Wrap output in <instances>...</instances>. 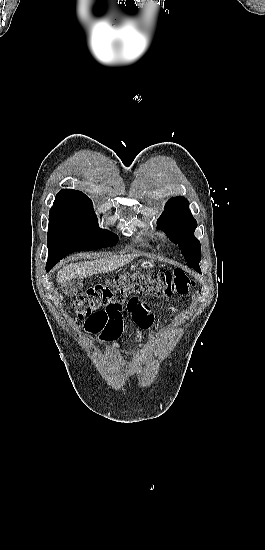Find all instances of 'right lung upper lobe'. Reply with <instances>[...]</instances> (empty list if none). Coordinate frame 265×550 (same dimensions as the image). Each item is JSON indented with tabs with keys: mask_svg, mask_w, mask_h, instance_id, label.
Masks as SVG:
<instances>
[{
	"mask_svg": "<svg viewBox=\"0 0 265 550\" xmlns=\"http://www.w3.org/2000/svg\"><path fill=\"white\" fill-rule=\"evenodd\" d=\"M86 198L88 197L81 191L63 189L56 195L54 203L76 202Z\"/></svg>",
	"mask_w": 265,
	"mask_h": 550,
	"instance_id": "cb5924a9",
	"label": "right lung upper lobe"
}]
</instances>
